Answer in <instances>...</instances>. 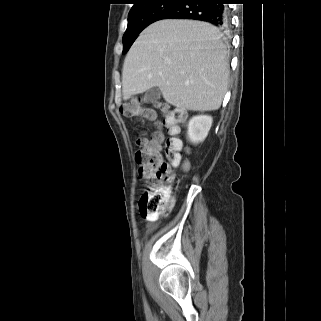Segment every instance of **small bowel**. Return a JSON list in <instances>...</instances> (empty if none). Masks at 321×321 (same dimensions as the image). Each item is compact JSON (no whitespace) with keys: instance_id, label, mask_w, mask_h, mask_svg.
<instances>
[{"instance_id":"obj_1","label":"small bowel","mask_w":321,"mask_h":321,"mask_svg":"<svg viewBox=\"0 0 321 321\" xmlns=\"http://www.w3.org/2000/svg\"><path fill=\"white\" fill-rule=\"evenodd\" d=\"M159 150H160V146H159ZM171 178L173 179L174 177L172 176ZM156 219L157 217L147 218L148 221H155Z\"/></svg>"}]
</instances>
